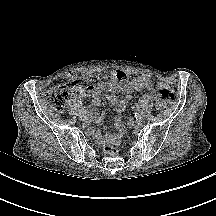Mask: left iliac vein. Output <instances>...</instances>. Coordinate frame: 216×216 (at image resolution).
Listing matches in <instances>:
<instances>
[{
	"label": "left iliac vein",
	"instance_id": "left-iliac-vein-1",
	"mask_svg": "<svg viewBox=\"0 0 216 216\" xmlns=\"http://www.w3.org/2000/svg\"><path fill=\"white\" fill-rule=\"evenodd\" d=\"M145 117V114L143 112H140V116L137 117L138 120H143Z\"/></svg>",
	"mask_w": 216,
	"mask_h": 216
}]
</instances>
